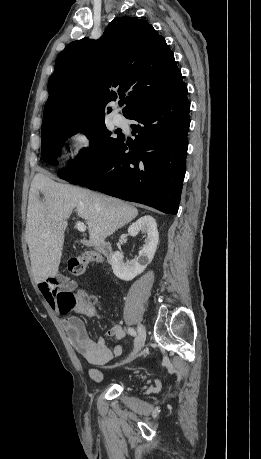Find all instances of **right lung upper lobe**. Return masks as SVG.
Segmentation results:
<instances>
[{
	"label": "right lung upper lobe",
	"mask_w": 261,
	"mask_h": 459,
	"mask_svg": "<svg viewBox=\"0 0 261 459\" xmlns=\"http://www.w3.org/2000/svg\"><path fill=\"white\" fill-rule=\"evenodd\" d=\"M182 84L165 39L136 17L116 18L98 41L71 42L57 57L41 132L62 124L104 120L106 103L125 92L127 118Z\"/></svg>",
	"instance_id": "cb5924a9"
}]
</instances>
